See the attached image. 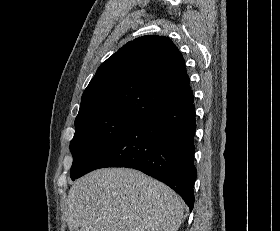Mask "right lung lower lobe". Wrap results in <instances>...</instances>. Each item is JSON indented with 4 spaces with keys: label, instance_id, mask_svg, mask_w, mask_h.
I'll use <instances>...</instances> for the list:
<instances>
[{
    "label": "right lung lower lobe",
    "instance_id": "obj_1",
    "mask_svg": "<svg viewBox=\"0 0 280 231\" xmlns=\"http://www.w3.org/2000/svg\"><path fill=\"white\" fill-rule=\"evenodd\" d=\"M195 131L194 98L164 107L129 128L72 180L98 168L137 169L174 189L192 211Z\"/></svg>",
    "mask_w": 280,
    "mask_h": 231
}]
</instances>
